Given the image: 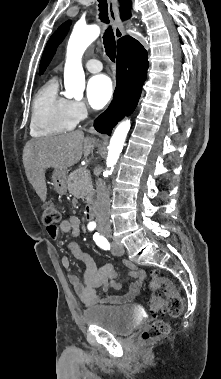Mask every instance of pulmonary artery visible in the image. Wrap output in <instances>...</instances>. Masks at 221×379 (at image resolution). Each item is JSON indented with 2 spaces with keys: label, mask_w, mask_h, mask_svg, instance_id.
<instances>
[{
  "label": "pulmonary artery",
  "mask_w": 221,
  "mask_h": 379,
  "mask_svg": "<svg viewBox=\"0 0 221 379\" xmlns=\"http://www.w3.org/2000/svg\"><path fill=\"white\" fill-rule=\"evenodd\" d=\"M85 68L92 73H97L102 70V63L97 59H90L86 61Z\"/></svg>",
  "instance_id": "obj_1"
}]
</instances>
